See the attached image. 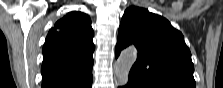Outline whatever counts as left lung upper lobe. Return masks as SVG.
I'll list each match as a JSON object with an SVG mask.
<instances>
[{"mask_svg":"<svg viewBox=\"0 0 223 88\" xmlns=\"http://www.w3.org/2000/svg\"><path fill=\"white\" fill-rule=\"evenodd\" d=\"M132 43L138 58L130 76L144 88H195L191 52L182 33L167 19L141 7L127 8L119 27L116 57Z\"/></svg>","mask_w":223,"mask_h":88,"instance_id":"1","label":"left lung upper lobe"}]
</instances>
